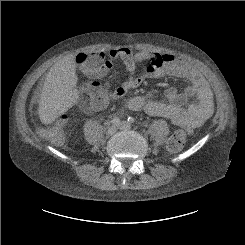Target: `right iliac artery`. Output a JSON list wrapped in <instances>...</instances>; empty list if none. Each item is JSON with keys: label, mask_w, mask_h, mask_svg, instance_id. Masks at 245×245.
I'll return each mask as SVG.
<instances>
[{"label": "right iliac artery", "mask_w": 245, "mask_h": 245, "mask_svg": "<svg viewBox=\"0 0 245 245\" xmlns=\"http://www.w3.org/2000/svg\"><path fill=\"white\" fill-rule=\"evenodd\" d=\"M112 125H118L120 123V119L118 117H115L111 120Z\"/></svg>", "instance_id": "right-iliac-artery-1"}]
</instances>
